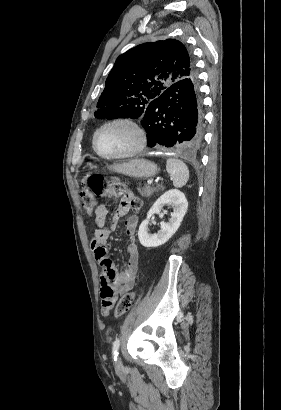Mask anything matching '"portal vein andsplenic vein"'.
<instances>
[{"label": "portal vein and splenic vein", "mask_w": 281, "mask_h": 410, "mask_svg": "<svg viewBox=\"0 0 281 410\" xmlns=\"http://www.w3.org/2000/svg\"><path fill=\"white\" fill-rule=\"evenodd\" d=\"M147 183L150 185L152 184V180H148Z\"/></svg>", "instance_id": "portal-vein-and-splenic-vein-1"}]
</instances>
